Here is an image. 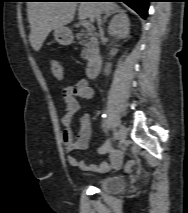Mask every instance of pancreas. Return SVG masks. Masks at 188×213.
Masks as SVG:
<instances>
[{
  "label": "pancreas",
  "mask_w": 188,
  "mask_h": 213,
  "mask_svg": "<svg viewBox=\"0 0 188 213\" xmlns=\"http://www.w3.org/2000/svg\"><path fill=\"white\" fill-rule=\"evenodd\" d=\"M78 40L82 39L83 50H82V58L85 60H89L91 56L97 51V38L95 37V33L88 29L82 30L80 33L76 35Z\"/></svg>",
  "instance_id": "1"
}]
</instances>
